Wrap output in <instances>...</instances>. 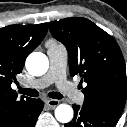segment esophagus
<instances>
[{
	"label": "esophagus",
	"instance_id": "esophagus-1",
	"mask_svg": "<svg viewBox=\"0 0 127 127\" xmlns=\"http://www.w3.org/2000/svg\"><path fill=\"white\" fill-rule=\"evenodd\" d=\"M45 103L49 109H54L56 106H58L59 101L54 99H49L46 100Z\"/></svg>",
	"mask_w": 127,
	"mask_h": 127
}]
</instances>
